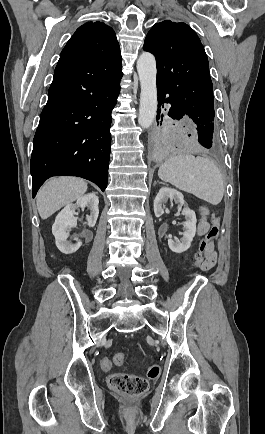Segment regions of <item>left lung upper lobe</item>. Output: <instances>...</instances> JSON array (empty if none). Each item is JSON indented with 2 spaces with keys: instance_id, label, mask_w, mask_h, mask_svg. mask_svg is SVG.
<instances>
[{
  "instance_id": "left-lung-upper-lobe-1",
  "label": "left lung upper lobe",
  "mask_w": 265,
  "mask_h": 434,
  "mask_svg": "<svg viewBox=\"0 0 265 434\" xmlns=\"http://www.w3.org/2000/svg\"><path fill=\"white\" fill-rule=\"evenodd\" d=\"M154 54L157 84L178 101L195 125H215L209 63L194 30L184 22L153 25L143 46Z\"/></svg>"
}]
</instances>
